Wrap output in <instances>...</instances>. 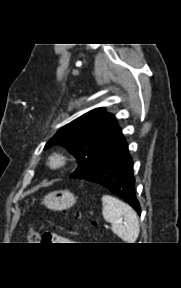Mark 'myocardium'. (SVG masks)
<instances>
[{"label": "myocardium", "mask_w": 181, "mask_h": 288, "mask_svg": "<svg viewBox=\"0 0 181 288\" xmlns=\"http://www.w3.org/2000/svg\"><path fill=\"white\" fill-rule=\"evenodd\" d=\"M69 156L62 151H53L46 158V166L50 171H60L69 164Z\"/></svg>", "instance_id": "myocardium-1"}]
</instances>
